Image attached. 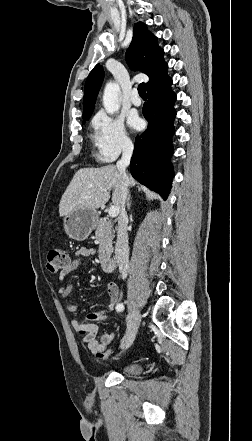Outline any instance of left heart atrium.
Returning a JSON list of instances; mask_svg holds the SVG:
<instances>
[{
	"instance_id": "1",
	"label": "left heart atrium",
	"mask_w": 252,
	"mask_h": 441,
	"mask_svg": "<svg viewBox=\"0 0 252 441\" xmlns=\"http://www.w3.org/2000/svg\"><path fill=\"white\" fill-rule=\"evenodd\" d=\"M129 123L133 128L137 129L140 127V119L136 116L130 117Z\"/></svg>"
}]
</instances>
